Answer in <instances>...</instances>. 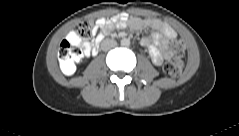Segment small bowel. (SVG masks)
<instances>
[{"mask_svg":"<svg viewBox=\"0 0 239 136\" xmlns=\"http://www.w3.org/2000/svg\"><path fill=\"white\" fill-rule=\"evenodd\" d=\"M97 25L104 33H110L116 27H130L134 30L150 28L153 32L142 39V44L147 48L152 62L156 66H161L172 56L169 43L177 38V33L169 24L159 19L120 16L114 21L100 18L97 20ZM67 37L80 45L84 56L88 57L92 53L93 44L91 42L79 41L74 32H70Z\"/></svg>","mask_w":239,"mask_h":136,"instance_id":"small-bowel-1","label":"small bowel"}]
</instances>
